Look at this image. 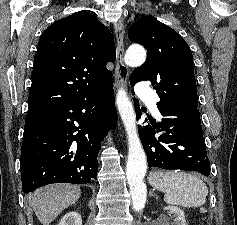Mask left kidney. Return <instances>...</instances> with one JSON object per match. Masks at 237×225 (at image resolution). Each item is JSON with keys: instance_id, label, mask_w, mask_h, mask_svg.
Here are the masks:
<instances>
[{"instance_id": "obj_1", "label": "left kidney", "mask_w": 237, "mask_h": 225, "mask_svg": "<svg viewBox=\"0 0 237 225\" xmlns=\"http://www.w3.org/2000/svg\"><path fill=\"white\" fill-rule=\"evenodd\" d=\"M165 209L168 210L169 213L173 215L174 217L173 225H186L184 212L180 208L176 206H167Z\"/></svg>"}]
</instances>
